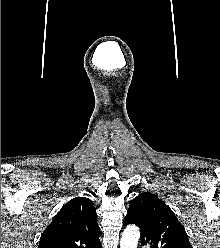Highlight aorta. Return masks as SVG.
Returning a JSON list of instances; mask_svg holds the SVG:
<instances>
[{"label":"aorta","mask_w":220,"mask_h":248,"mask_svg":"<svg viewBox=\"0 0 220 248\" xmlns=\"http://www.w3.org/2000/svg\"><path fill=\"white\" fill-rule=\"evenodd\" d=\"M139 237L138 227L135 225L126 227L122 234L120 248H137Z\"/></svg>","instance_id":"1"}]
</instances>
